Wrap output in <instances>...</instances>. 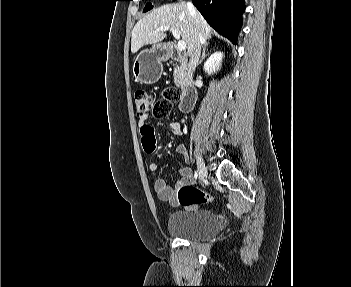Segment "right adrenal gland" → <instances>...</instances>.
<instances>
[{"mask_svg": "<svg viewBox=\"0 0 351 287\" xmlns=\"http://www.w3.org/2000/svg\"><path fill=\"white\" fill-rule=\"evenodd\" d=\"M207 46H208V43H205L204 48H203V53H202V56H201V59H200L198 65H200L206 57Z\"/></svg>", "mask_w": 351, "mask_h": 287, "instance_id": "2a0ac1e0", "label": "right adrenal gland"}]
</instances>
